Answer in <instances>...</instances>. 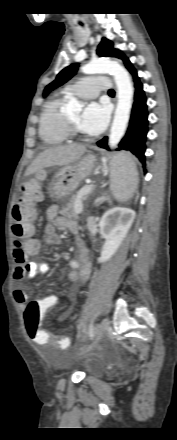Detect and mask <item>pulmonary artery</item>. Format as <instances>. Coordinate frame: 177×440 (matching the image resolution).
I'll return each instance as SVG.
<instances>
[{"label": "pulmonary artery", "instance_id": "1", "mask_svg": "<svg viewBox=\"0 0 177 440\" xmlns=\"http://www.w3.org/2000/svg\"><path fill=\"white\" fill-rule=\"evenodd\" d=\"M109 86L110 82L107 77L92 75L67 85L65 90L83 99H92L97 97L101 91H106Z\"/></svg>", "mask_w": 177, "mask_h": 440}]
</instances>
